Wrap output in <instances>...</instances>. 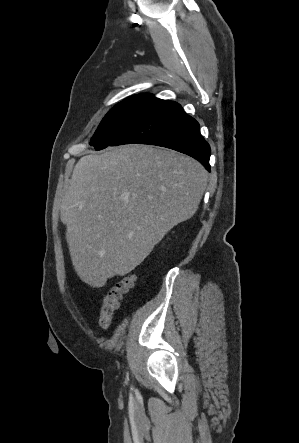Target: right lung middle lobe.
I'll list each match as a JSON object with an SVG mask.
<instances>
[{
    "label": "right lung middle lobe",
    "mask_w": 299,
    "mask_h": 443,
    "mask_svg": "<svg viewBox=\"0 0 299 443\" xmlns=\"http://www.w3.org/2000/svg\"><path fill=\"white\" fill-rule=\"evenodd\" d=\"M156 99L152 94L143 93L117 104L102 119L91 139V145L96 150L110 146Z\"/></svg>",
    "instance_id": "dd1d6c3e"
}]
</instances>
